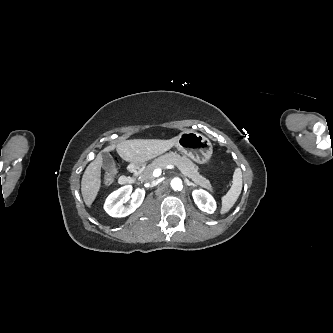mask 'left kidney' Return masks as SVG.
Instances as JSON below:
<instances>
[{"instance_id": "1", "label": "left kidney", "mask_w": 333, "mask_h": 333, "mask_svg": "<svg viewBox=\"0 0 333 333\" xmlns=\"http://www.w3.org/2000/svg\"><path fill=\"white\" fill-rule=\"evenodd\" d=\"M192 196L200 210L208 214L214 213L216 210V202L211 194L203 189H199L194 190Z\"/></svg>"}]
</instances>
